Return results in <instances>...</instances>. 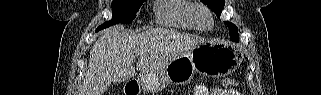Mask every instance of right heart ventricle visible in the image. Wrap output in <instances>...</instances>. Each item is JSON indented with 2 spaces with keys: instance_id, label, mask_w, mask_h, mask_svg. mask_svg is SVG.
Wrapping results in <instances>:
<instances>
[{
  "instance_id": "obj_1",
  "label": "right heart ventricle",
  "mask_w": 321,
  "mask_h": 95,
  "mask_svg": "<svg viewBox=\"0 0 321 95\" xmlns=\"http://www.w3.org/2000/svg\"><path fill=\"white\" fill-rule=\"evenodd\" d=\"M197 8L189 0H158L154 8L155 20L163 27L199 30L195 20Z\"/></svg>"
}]
</instances>
